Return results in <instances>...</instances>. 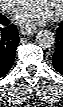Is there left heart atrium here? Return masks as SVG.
Returning a JSON list of instances; mask_svg holds the SVG:
<instances>
[{
  "mask_svg": "<svg viewBox=\"0 0 63 107\" xmlns=\"http://www.w3.org/2000/svg\"><path fill=\"white\" fill-rule=\"evenodd\" d=\"M52 18V14L38 4L31 2L21 8L15 16V21L25 27L42 25Z\"/></svg>",
  "mask_w": 63,
  "mask_h": 107,
  "instance_id": "left-heart-atrium-1",
  "label": "left heart atrium"
}]
</instances>
